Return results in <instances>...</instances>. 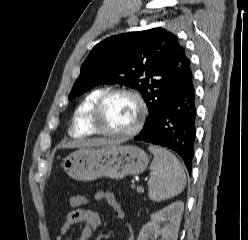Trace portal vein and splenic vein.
<instances>
[{"label":"portal vein and splenic vein","instance_id":"18ae733b","mask_svg":"<svg viewBox=\"0 0 248 240\" xmlns=\"http://www.w3.org/2000/svg\"><path fill=\"white\" fill-rule=\"evenodd\" d=\"M137 191H144V189H143V187L142 186H139V187H137Z\"/></svg>","mask_w":248,"mask_h":240}]
</instances>
